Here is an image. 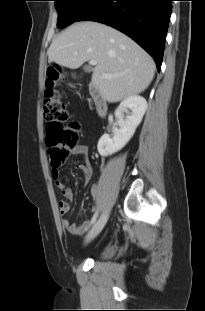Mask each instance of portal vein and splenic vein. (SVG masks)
<instances>
[{
	"instance_id": "1",
	"label": "portal vein and splenic vein",
	"mask_w": 205,
	"mask_h": 311,
	"mask_svg": "<svg viewBox=\"0 0 205 311\" xmlns=\"http://www.w3.org/2000/svg\"><path fill=\"white\" fill-rule=\"evenodd\" d=\"M90 64H91V65H97V61L91 60V61H90ZM103 76H104V77H111V75H108V74H105V73L103 74Z\"/></svg>"
}]
</instances>
